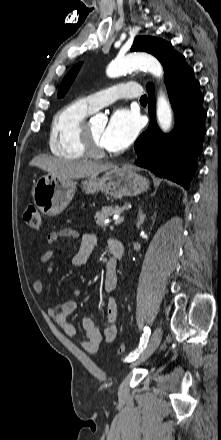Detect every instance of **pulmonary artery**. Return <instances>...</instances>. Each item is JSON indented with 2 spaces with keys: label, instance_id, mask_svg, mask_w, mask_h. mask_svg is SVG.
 Returning <instances> with one entry per match:
<instances>
[{
  "label": "pulmonary artery",
  "instance_id": "obj_1",
  "mask_svg": "<svg viewBox=\"0 0 221 440\" xmlns=\"http://www.w3.org/2000/svg\"><path fill=\"white\" fill-rule=\"evenodd\" d=\"M142 95L141 86L136 82L120 83L85 97V100L96 111L120 98H134Z\"/></svg>",
  "mask_w": 221,
  "mask_h": 440
}]
</instances>
